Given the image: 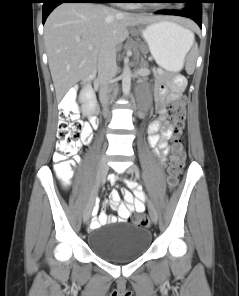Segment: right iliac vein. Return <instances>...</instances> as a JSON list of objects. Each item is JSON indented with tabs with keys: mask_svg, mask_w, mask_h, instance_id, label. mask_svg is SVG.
Returning <instances> with one entry per match:
<instances>
[{
	"mask_svg": "<svg viewBox=\"0 0 239 296\" xmlns=\"http://www.w3.org/2000/svg\"><path fill=\"white\" fill-rule=\"evenodd\" d=\"M108 170H109V167H108V164L106 161V157L102 156V158L98 164L96 187L94 188V190L90 196L92 198L91 199L92 201L90 203L88 202L87 207H86L84 214H83L84 223H87L89 220V217L91 215V211H92V208L94 206V202H95V199L97 196L98 185H100L105 180Z\"/></svg>",
	"mask_w": 239,
	"mask_h": 296,
	"instance_id": "obj_1",
	"label": "right iliac vein"
}]
</instances>
